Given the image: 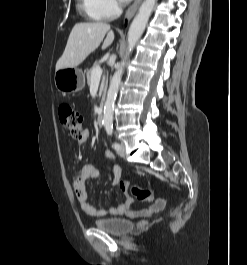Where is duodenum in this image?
I'll list each match as a JSON object with an SVG mask.
<instances>
[{
  "mask_svg": "<svg viewBox=\"0 0 247 265\" xmlns=\"http://www.w3.org/2000/svg\"><path fill=\"white\" fill-rule=\"evenodd\" d=\"M103 118H104L103 113H99L97 116V124L99 126H103Z\"/></svg>",
  "mask_w": 247,
  "mask_h": 265,
  "instance_id": "410a0bca",
  "label": "duodenum"
}]
</instances>
